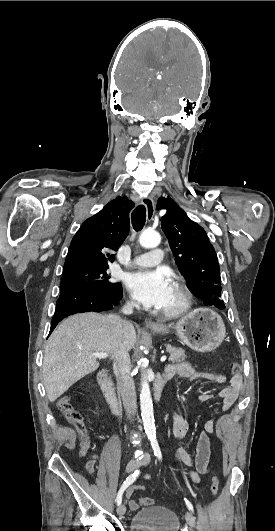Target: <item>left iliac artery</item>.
<instances>
[{
  "mask_svg": "<svg viewBox=\"0 0 275 531\" xmlns=\"http://www.w3.org/2000/svg\"><path fill=\"white\" fill-rule=\"evenodd\" d=\"M151 445H152V449L154 451V455L159 459L161 460L162 459V454H161V450H160V447H159V444H158V441L156 439H153L151 440ZM185 500V503H186V506L188 507V509L193 512V506L192 504L186 499L184 498Z\"/></svg>",
  "mask_w": 275,
  "mask_h": 531,
  "instance_id": "1",
  "label": "left iliac artery"
}]
</instances>
